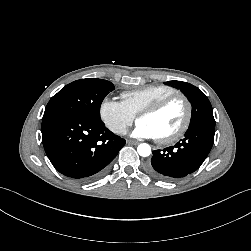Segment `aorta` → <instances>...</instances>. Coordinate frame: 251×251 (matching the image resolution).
<instances>
[{
    "label": "aorta",
    "mask_w": 251,
    "mask_h": 251,
    "mask_svg": "<svg viewBox=\"0 0 251 251\" xmlns=\"http://www.w3.org/2000/svg\"><path fill=\"white\" fill-rule=\"evenodd\" d=\"M137 152L142 157H148L151 154V147L147 143L139 144L137 147Z\"/></svg>",
    "instance_id": "1"
}]
</instances>
